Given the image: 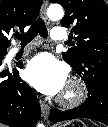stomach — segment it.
Here are the masks:
<instances>
[{
    "instance_id": "stomach-1",
    "label": "stomach",
    "mask_w": 108,
    "mask_h": 127,
    "mask_svg": "<svg viewBox=\"0 0 108 127\" xmlns=\"http://www.w3.org/2000/svg\"><path fill=\"white\" fill-rule=\"evenodd\" d=\"M56 127H87V125L79 119L70 120Z\"/></svg>"
}]
</instances>
